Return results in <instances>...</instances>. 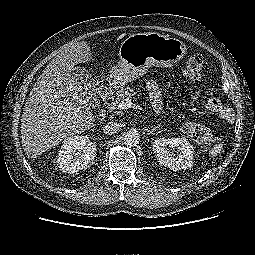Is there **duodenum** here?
I'll return each instance as SVG.
<instances>
[{
	"label": "duodenum",
	"instance_id": "obj_1",
	"mask_svg": "<svg viewBox=\"0 0 255 255\" xmlns=\"http://www.w3.org/2000/svg\"><path fill=\"white\" fill-rule=\"evenodd\" d=\"M112 89H113V85L110 83L109 80H106V79L101 80L97 89V94L100 101L105 99L112 92ZM99 117L101 119H104L106 117V114L103 110H100Z\"/></svg>",
	"mask_w": 255,
	"mask_h": 255
}]
</instances>
